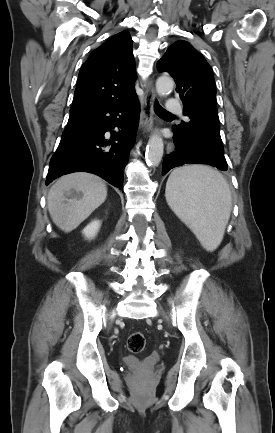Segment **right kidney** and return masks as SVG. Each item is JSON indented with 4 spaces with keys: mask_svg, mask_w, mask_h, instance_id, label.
<instances>
[{
    "mask_svg": "<svg viewBox=\"0 0 275 433\" xmlns=\"http://www.w3.org/2000/svg\"><path fill=\"white\" fill-rule=\"evenodd\" d=\"M101 223L98 220H94L92 222H90L84 229H83V234L86 238L88 239H93L99 229H100Z\"/></svg>",
    "mask_w": 275,
    "mask_h": 433,
    "instance_id": "obj_1",
    "label": "right kidney"
}]
</instances>
